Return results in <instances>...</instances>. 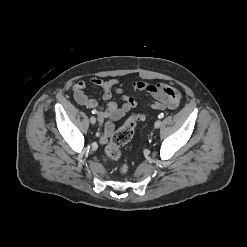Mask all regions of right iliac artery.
I'll use <instances>...</instances> for the list:
<instances>
[{"label":"right iliac artery","instance_id":"right-iliac-artery-1","mask_svg":"<svg viewBox=\"0 0 247 247\" xmlns=\"http://www.w3.org/2000/svg\"><path fill=\"white\" fill-rule=\"evenodd\" d=\"M92 113L94 114V113H96V111H92Z\"/></svg>","mask_w":247,"mask_h":247}]
</instances>
